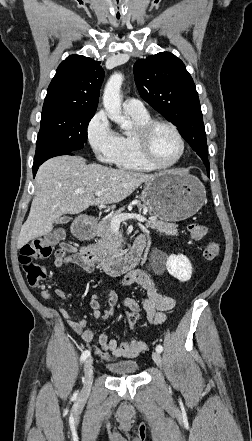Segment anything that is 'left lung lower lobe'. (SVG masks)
Listing matches in <instances>:
<instances>
[{"label": "left lung lower lobe", "instance_id": "obj_1", "mask_svg": "<svg viewBox=\"0 0 252 441\" xmlns=\"http://www.w3.org/2000/svg\"><path fill=\"white\" fill-rule=\"evenodd\" d=\"M207 171H208V174H209V167H207Z\"/></svg>", "mask_w": 252, "mask_h": 441}]
</instances>
